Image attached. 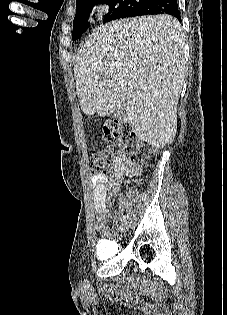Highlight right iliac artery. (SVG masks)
<instances>
[{
	"mask_svg": "<svg viewBox=\"0 0 227 315\" xmlns=\"http://www.w3.org/2000/svg\"><path fill=\"white\" fill-rule=\"evenodd\" d=\"M128 218V215H123L121 218H120V221L121 222H125Z\"/></svg>",
	"mask_w": 227,
	"mask_h": 315,
	"instance_id": "82829eb1",
	"label": "right iliac artery"
}]
</instances>
